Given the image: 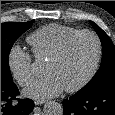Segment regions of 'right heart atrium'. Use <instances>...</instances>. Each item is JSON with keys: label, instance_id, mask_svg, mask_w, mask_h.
Instances as JSON below:
<instances>
[{"label": "right heart atrium", "instance_id": "1", "mask_svg": "<svg viewBox=\"0 0 115 115\" xmlns=\"http://www.w3.org/2000/svg\"><path fill=\"white\" fill-rule=\"evenodd\" d=\"M7 64L12 76L20 86H27L34 77L31 54L18 44L10 47Z\"/></svg>", "mask_w": 115, "mask_h": 115}]
</instances>
